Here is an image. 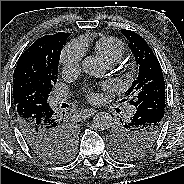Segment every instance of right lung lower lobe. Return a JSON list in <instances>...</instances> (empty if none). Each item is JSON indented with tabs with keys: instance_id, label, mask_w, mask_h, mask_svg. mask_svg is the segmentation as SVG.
I'll use <instances>...</instances> for the list:
<instances>
[{
	"instance_id": "1",
	"label": "right lung lower lobe",
	"mask_w": 184,
	"mask_h": 184,
	"mask_svg": "<svg viewBox=\"0 0 184 184\" xmlns=\"http://www.w3.org/2000/svg\"><path fill=\"white\" fill-rule=\"evenodd\" d=\"M15 112L23 138L35 153L60 143L64 129L69 126L68 121L56 114L48 103H18Z\"/></svg>"
}]
</instances>
